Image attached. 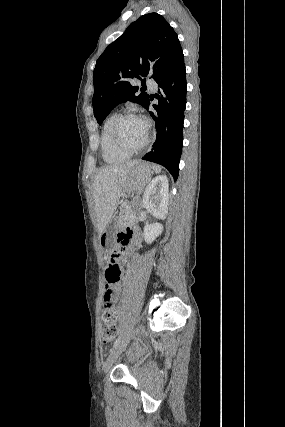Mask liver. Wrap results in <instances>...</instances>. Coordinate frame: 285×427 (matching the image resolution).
<instances>
[{
    "mask_svg": "<svg viewBox=\"0 0 285 427\" xmlns=\"http://www.w3.org/2000/svg\"><path fill=\"white\" fill-rule=\"evenodd\" d=\"M138 161L110 165L102 168L93 182V202L99 236L109 224L123 195L131 168Z\"/></svg>",
    "mask_w": 285,
    "mask_h": 427,
    "instance_id": "liver-1",
    "label": "liver"
}]
</instances>
